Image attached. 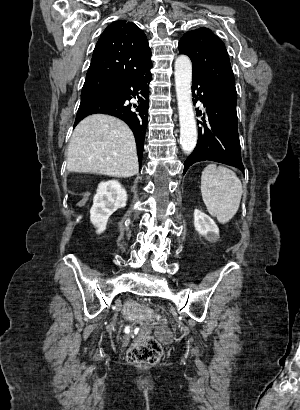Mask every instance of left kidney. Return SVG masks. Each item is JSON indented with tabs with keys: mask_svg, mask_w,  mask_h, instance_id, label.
<instances>
[{
	"mask_svg": "<svg viewBox=\"0 0 300 410\" xmlns=\"http://www.w3.org/2000/svg\"><path fill=\"white\" fill-rule=\"evenodd\" d=\"M194 227L200 235L205 237L210 232L219 235V228L213 219L198 209L194 211Z\"/></svg>",
	"mask_w": 300,
	"mask_h": 410,
	"instance_id": "obj_1",
	"label": "left kidney"
}]
</instances>
